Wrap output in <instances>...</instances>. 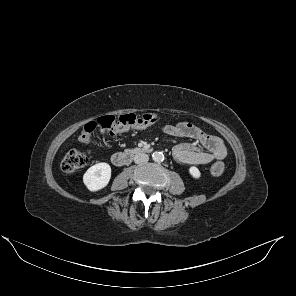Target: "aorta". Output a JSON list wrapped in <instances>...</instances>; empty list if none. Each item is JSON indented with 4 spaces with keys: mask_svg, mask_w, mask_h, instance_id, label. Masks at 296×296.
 <instances>
[{
    "mask_svg": "<svg viewBox=\"0 0 296 296\" xmlns=\"http://www.w3.org/2000/svg\"><path fill=\"white\" fill-rule=\"evenodd\" d=\"M152 159L155 161V162H162L164 160V155L162 152H154L152 154Z\"/></svg>",
    "mask_w": 296,
    "mask_h": 296,
    "instance_id": "762f6f07",
    "label": "aorta"
}]
</instances>
